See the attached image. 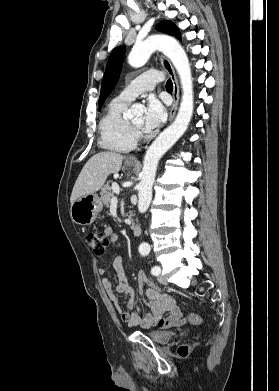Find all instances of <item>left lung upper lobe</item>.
Instances as JSON below:
<instances>
[{
	"instance_id": "1",
	"label": "left lung upper lobe",
	"mask_w": 279,
	"mask_h": 391,
	"mask_svg": "<svg viewBox=\"0 0 279 391\" xmlns=\"http://www.w3.org/2000/svg\"><path fill=\"white\" fill-rule=\"evenodd\" d=\"M157 29L180 39V32L176 27V25L171 21H161L157 25ZM124 53H125L124 46L117 47L112 51L108 59L105 74L102 80L101 93L99 97V107L102 106L105 99L114 89L115 84L119 79Z\"/></svg>"
}]
</instances>
